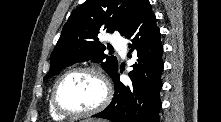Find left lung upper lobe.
Segmentation results:
<instances>
[{
	"label": "left lung upper lobe",
	"mask_w": 221,
	"mask_h": 122,
	"mask_svg": "<svg viewBox=\"0 0 221 122\" xmlns=\"http://www.w3.org/2000/svg\"><path fill=\"white\" fill-rule=\"evenodd\" d=\"M138 1L86 0L75 9L62 29L44 79L66 66L88 60L102 62V68L113 77L118 71L117 59L104 54L106 47L98 41L97 35L101 31L112 33L115 30L125 35Z\"/></svg>",
	"instance_id": "left-lung-upper-lobe-1"
}]
</instances>
